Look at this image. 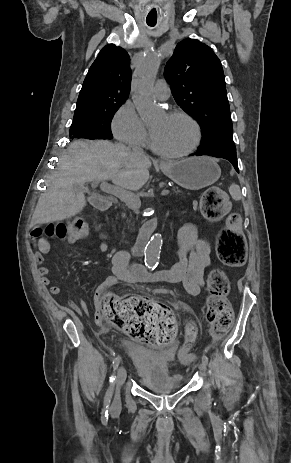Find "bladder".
<instances>
[{
	"label": "bladder",
	"instance_id": "bladder-1",
	"mask_svg": "<svg viewBox=\"0 0 291 463\" xmlns=\"http://www.w3.org/2000/svg\"><path fill=\"white\" fill-rule=\"evenodd\" d=\"M123 345L136 365V376L146 388H181L185 384L183 376L169 370L173 356L162 357L135 339H125Z\"/></svg>",
	"mask_w": 291,
	"mask_h": 463
}]
</instances>
